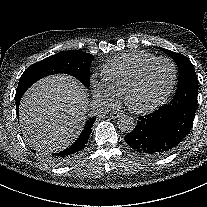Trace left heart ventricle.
Wrapping results in <instances>:
<instances>
[{
	"mask_svg": "<svg viewBox=\"0 0 207 207\" xmlns=\"http://www.w3.org/2000/svg\"><path fill=\"white\" fill-rule=\"evenodd\" d=\"M173 78V67L168 62L155 64L146 73L142 84L131 94L130 103L144 109L148 105L164 100Z\"/></svg>",
	"mask_w": 207,
	"mask_h": 207,
	"instance_id": "b2bd125f",
	"label": "left heart ventricle"
}]
</instances>
